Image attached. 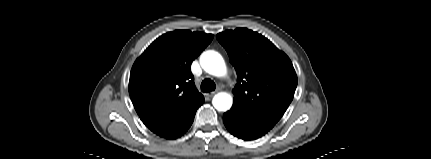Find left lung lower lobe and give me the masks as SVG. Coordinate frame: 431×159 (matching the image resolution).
<instances>
[{
    "label": "left lung lower lobe",
    "mask_w": 431,
    "mask_h": 159,
    "mask_svg": "<svg viewBox=\"0 0 431 159\" xmlns=\"http://www.w3.org/2000/svg\"><path fill=\"white\" fill-rule=\"evenodd\" d=\"M223 122L231 134L243 140L262 137L274 126L268 122L243 116L232 108L224 113Z\"/></svg>",
    "instance_id": "obj_1"
}]
</instances>
